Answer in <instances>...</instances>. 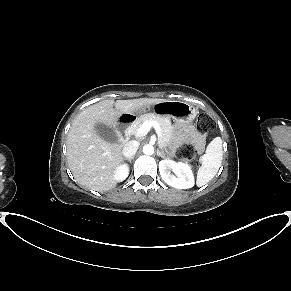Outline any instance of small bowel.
<instances>
[{
    "label": "small bowel",
    "mask_w": 291,
    "mask_h": 291,
    "mask_svg": "<svg viewBox=\"0 0 291 291\" xmlns=\"http://www.w3.org/2000/svg\"><path fill=\"white\" fill-rule=\"evenodd\" d=\"M187 137L191 140H196L198 142H200V137L198 136L197 132L194 131L193 129H188L187 131Z\"/></svg>",
    "instance_id": "1"
}]
</instances>
